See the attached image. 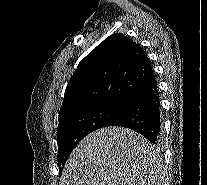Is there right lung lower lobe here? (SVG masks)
<instances>
[{"label": "right lung lower lobe", "instance_id": "obj_1", "mask_svg": "<svg viewBox=\"0 0 207 185\" xmlns=\"http://www.w3.org/2000/svg\"><path fill=\"white\" fill-rule=\"evenodd\" d=\"M106 126L129 128L159 147L162 143V115L156 80L134 94Z\"/></svg>", "mask_w": 207, "mask_h": 185}]
</instances>
